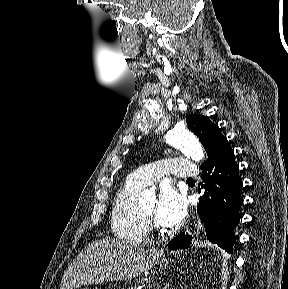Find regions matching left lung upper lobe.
Returning <instances> with one entry per match:
<instances>
[{"label":"left lung upper lobe","mask_w":288,"mask_h":289,"mask_svg":"<svg viewBox=\"0 0 288 289\" xmlns=\"http://www.w3.org/2000/svg\"><path fill=\"white\" fill-rule=\"evenodd\" d=\"M186 122L189 129L199 138L207 153L208 159L202 164L204 165L210 161L222 140L226 138L221 134L219 127L205 116L190 114L186 117Z\"/></svg>","instance_id":"obj_1"}]
</instances>
